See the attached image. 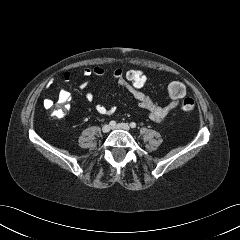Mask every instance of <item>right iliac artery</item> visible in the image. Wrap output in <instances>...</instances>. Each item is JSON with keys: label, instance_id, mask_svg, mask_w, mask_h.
Masks as SVG:
<instances>
[{"label": "right iliac artery", "instance_id": "obj_1", "mask_svg": "<svg viewBox=\"0 0 240 240\" xmlns=\"http://www.w3.org/2000/svg\"><path fill=\"white\" fill-rule=\"evenodd\" d=\"M111 126H115L116 125V122L114 120L110 121L109 123Z\"/></svg>", "mask_w": 240, "mask_h": 240}]
</instances>
